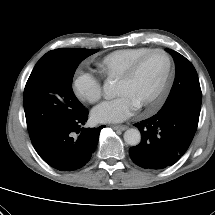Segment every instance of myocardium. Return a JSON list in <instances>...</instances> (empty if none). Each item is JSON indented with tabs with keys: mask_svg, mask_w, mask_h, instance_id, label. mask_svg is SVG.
Returning a JSON list of instances; mask_svg holds the SVG:
<instances>
[{
	"mask_svg": "<svg viewBox=\"0 0 215 215\" xmlns=\"http://www.w3.org/2000/svg\"><path fill=\"white\" fill-rule=\"evenodd\" d=\"M155 53H160L163 54L166 59H167V71L166 74L164 76V79L161 83V85L159 86V88L157 89V91L154 93V95L145 103L140 104L138 107L140 108H149L152 107L162 96V94L164 93V91L166 90L171 74H172V70H173V60L172 57L170 56V54L161 48H155V49H150L148 51H146L145 53H143L142 55H140L139 57H137L136 59H134L129 65L128 67L124 70V72L118 77V81H127L129 80L136 72V70L138 69L139 65L142 63V61L148 57L151 54H155Z\"/></svg>",
	"mask_w": 215,
	"mask_h": 215,
	"instance_id": "myocardium-1",
	"label": "myocardium"
}]
</instances>
